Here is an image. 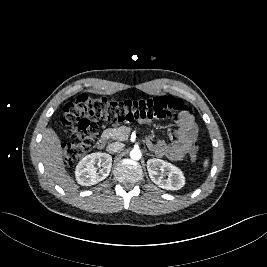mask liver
<instances>
[{
    "instance_id": "obj_1",
    "label": "liver",
    "mask_w": 267,
    "mask_h": 267,
    "mask_svg": "<svg viewBox=\"0 0 267 267\" xmlns=\"http://www.w3.org/2000/svg\"><path fill=\"white\" fill-rule=\"evenodd\" d=\"M40 154L49 178L66 191L75 192L78 190L79 186L65 169L61 140L50 127L45 129L43 133Z\"/></svg>"
}]
</instances>
